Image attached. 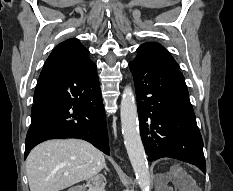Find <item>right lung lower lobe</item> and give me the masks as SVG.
<instances>
[{
    "label": "right lung lower lobe",
    "instance_id": "obj_1",
    "mask_svg": "<svg viewBox=\"0 0 233 191\" xmlns=\"http://www.w3.org/2000/svg\"><path fill=\"white\" fill-rule=\"evenodd\" d=\"M33 103L24 159L37 144L56 138L84 139L110 155L99 78L91 60L73 68L43 69Z\"/></svg>",
    "mask_w": 233,
    "mask_h": 191
}]
</instances>
